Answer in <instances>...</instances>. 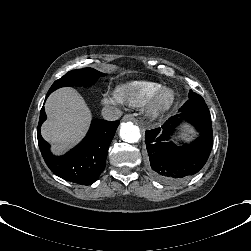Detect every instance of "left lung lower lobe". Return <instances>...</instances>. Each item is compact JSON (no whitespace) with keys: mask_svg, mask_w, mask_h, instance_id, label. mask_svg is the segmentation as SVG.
Listing matches in <instances>:
<instances>
[{"mask_svg":"<svg viewBox=\"0 0 251 251\" xmlns=\"http://www.w3.org/2000/svg\"><path fill=\"white\" fill-rule=\"evenodd\" d=\"M187 121L200 133L191 144L178 146L169 141L174 128ZM146 148L152 174L162 182L173 184L189 179L205 165L213 141L210 113L199 110H179L161 128L145 132Z\"/></svg>","mask_w":251,"mask_h":251,"instance_id":"obj_1","label":"left lung lower lobe"}]
</instances>
